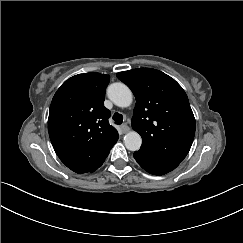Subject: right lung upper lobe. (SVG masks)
Returning <instances> with one entry per match:
<instances>
[{
    "label": "right lung upper lobe",
    "instance_id": "1",
    "mask_svg": "<svg viewBox=\"0 0 243 243\" xmlns=\"http://www.w3.org/2000/svg\"><path fill=\"white\" fill-rule=\"evenodd\" d=\"M109 76L96 72L75 75L55 93L48 131L61 161L76 173H87L105 160L118 140L104 107Z\"/></svg>",
    "mask_w": 243,
    "mask_h": 243
}]
</instances>
